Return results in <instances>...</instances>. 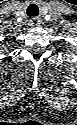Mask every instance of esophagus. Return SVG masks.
I'll return each mask as SVG.
<instances>
[{
  "label": "esophagus",
  "instance_id": "1",
  "mask_svg": "<svg viewBox=\"0 0 77 125\" xmlns=\"http://www.w3.org/2000/svg\"><path fill=\"white\" fill-rule=\"evenodd\" d=\"M40 21L37 18H31L30 19V25L33 27H38L40 26Z\"/></svg>",
  "mask_w": 77,
  "mask_h": 125
}]
</instances>
